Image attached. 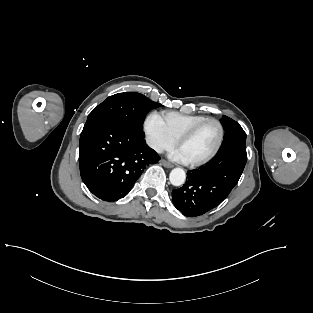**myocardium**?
Listing matches in <instances>:
<instances>
[{"label": "myocardium", "mask_w": 313, "mask_h": 313, "mask_svg": "<svg viewBox=\"0 0 313 313\" xmlns=\"http://www.w3.org/2000/svg\"><path fill=\"white\" fill-rule=\"evenodd\" d=\"M209 122H214L218 126L219 136H218L217 143H216L214 149L212 150V152L209 155H207L206 157H204L200 160H196V161H190V162L188 161V164L193 166V167L202 166V165L210 162L217 155V153L219 152V150L222 146L223 139H224L223 124L217 118L208 117V118L202 120L201 122L195 124L191 128H189L182 135H180L179 138L176 140V144L179 147L181 144H183L184 142L189 140L191 137H193L196 132H198L205 124H207Z\"/></svg>", "instance_id": "obj_1"}]
</instances>
